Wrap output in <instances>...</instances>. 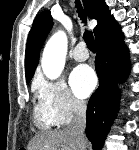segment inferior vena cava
<instances>
[{
	"instance_id": "1",
	"label": "inferior vena cava",
	"mask_w": 139,
	"mask_h": 150,
	"mask_svg": "<svg viewBox=\"0 0 139 150\" xmlns=\"http://www.w3.org/2000/svg\"><path fill=\"white\" fill-rule=\"evenodd\" d=\"M73 107L74 118L67 129L76 140L77 150H85L86 105L83 101L75 100Z\"/></svg>"
}]
</instances>
